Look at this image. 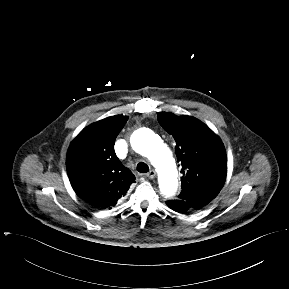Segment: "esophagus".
I'll use <instances>...</instances> for the list:
<instances>
[{"label": "esophagus", "instance_id": "34e87169", "mask_svg": "<svg viewBox=\"0 0 289 289\" xmlns=\"http://www.w3.org/2000/svg\"><path fill=\"white\" fill-rule=\"evenodd\" d=\"M156 176V172L154 170H150L147 174L146 177H148L149 179H153Z\"/></svg>", "mask_w": 289, "mask_h": 289}]
</instances>
